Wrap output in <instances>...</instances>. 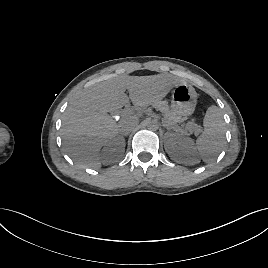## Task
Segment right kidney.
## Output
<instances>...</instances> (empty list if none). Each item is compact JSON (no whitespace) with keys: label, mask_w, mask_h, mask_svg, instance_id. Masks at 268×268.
Instances as JSON below:
<instances>
[{"label":"right kidney","mask_w":268,"mask_h":268,"mask_svg":"<svg viewBox=\"0 0 268 268\" xmlns=\"http://www.w3.org/2000/svg\"><path fill=\"white\" fill-rule=\"evenodd\" d=\"M125 151V140L118 136L105 144L102 152L101 159L103 164H113L119 161Z\"/></svg>","instance_id":"ca27d5eb"}]
</instances>
